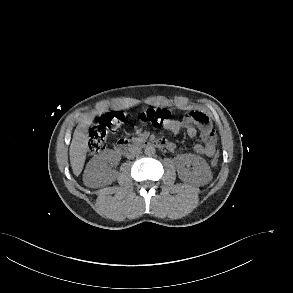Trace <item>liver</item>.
<instances>
[{"instance_id": "liver-1", "label": "liver", "mask_w": 293, "mask_h": 293, "mask_svg": "<svg viewBox=\"0 0 293 293\" xmlns=\"http://www.w3.org/2000/svg\"><path fill=\"white\" fill-rule=\"evenodd\" d=\"M92 119H84L75 129L70 145V163L75 176L82 172L88 150V128Z\"/></svg>"}]
</instances>
